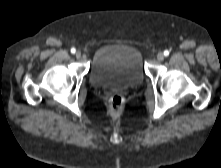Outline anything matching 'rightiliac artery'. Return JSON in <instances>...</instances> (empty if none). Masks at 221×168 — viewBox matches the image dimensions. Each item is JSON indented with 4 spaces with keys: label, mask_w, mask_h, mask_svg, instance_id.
Returning <instances> with one entry per match:
<instances>
[{
    "label": "right iliac artery",
    "mask_w": 221,
    "mask_h": 168,
    "mask_svg": "<svg viewBox=\"0 0 221 168\" xmlns=\"http://www.w3.org/2000/svg\"><path fill=\"white\" fill-rule=\"evenodd\" d=\"M76 52L75 48H71V53L74 54Z\"/></svg>",
    "instance_id": "right-iliac-artery-1"
}]
</instances>
